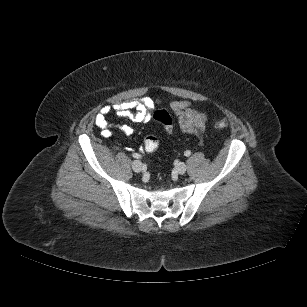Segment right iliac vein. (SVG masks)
Returning a JSON list of instances; mask_svg holds the SVG:
<instances>
[{
	"label": "right iliac vein",
	"instance_id": "1",
	"mask_svg": "<svg viewBox=\"0 0 307 307\" xmlns=\"http://www.w3.org/2000/svg\"><path fill=\"white\" fill-rule=\"evenodd\" d=\"M143 168V165L142 163L139 161V160H135L133 161L132 163V169L135 171V172H140Z\"/></svg>",
	"mask_w": 307,
	"mask_h": 307
}]
</instances>
